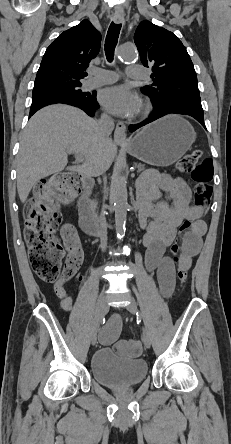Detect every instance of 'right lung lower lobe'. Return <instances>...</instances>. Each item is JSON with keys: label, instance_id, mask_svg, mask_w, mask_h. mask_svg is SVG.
<instances>
[{"label": "right lung lower lobe", "instance_id": "1", "mask_svg": "<svg viewBox=\"0 0 231 444\" xmlns=\"http://www.w3.org/2000/svg\"><path fill=\"white\" fill-rule=\"evenodd\" d=\"M56 103H65V104L79 107L90 116H93L94 111L98 108V103H97L95 94H94V97H92L89 100H74V99H69V98H65V97L47 96V97L38 98V99H35L32 101V105L30 108V116H32L40 108L50 105V104H56Z\"/></svg>", "mask_w": 231, "mask_h": 444}]
</instances>
